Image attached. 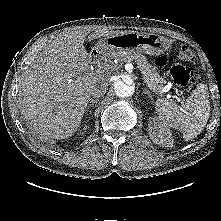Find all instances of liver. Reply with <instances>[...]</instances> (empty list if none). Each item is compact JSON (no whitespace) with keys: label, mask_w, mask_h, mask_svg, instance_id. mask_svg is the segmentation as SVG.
<instances>
[{"label":"liver","mask_w":221,"mask_h":221,"mask_svg":"<svg viewBox=\"0 0 221 221\" xmlns=\"http://www.w3.org/2000/svg\"><path fill=\"white\" fill-rule=\"evenodd\" d=\"M126 32L101 31L89 40ZM88 32L77 30L58 35L37 56L22 76L19 107L24 120L44 138L67 139L79 128L92 89L108 86L109 73L88 72L84 42Z\"/></svg>","instance_id":"1"}]
</instances>
